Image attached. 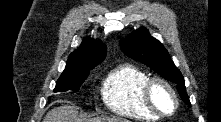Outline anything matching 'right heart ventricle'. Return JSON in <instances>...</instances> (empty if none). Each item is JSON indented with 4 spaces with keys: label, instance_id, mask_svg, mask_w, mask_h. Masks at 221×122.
Here are the masks:
<instances>
[{
    "label": "right heart ventricle",
    "instance_id": "e07e8e85",
    "mask_svg": "<svg viewBox=\"0 0 221 122\" xmlns=\"http://www.w3.org/2000/svg\"><path fill=\"white\" fill-rule=\"evenodd\" d=\"M149 75L143 69L122 64L112 69L102 84V99L113 113L132 119L154 121L159 117L145 105L142 88Z\"/></svg>",
    "mask_w": 221,
    "mask_h": 122
}]
</instances>
